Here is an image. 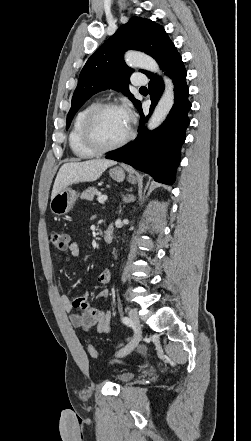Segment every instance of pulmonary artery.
I'll return each mask as SVG.
<instances>
[{
	"instance_id": "obj_1",
	"label": "pulmonary artery",
	"mask_w": 251,
	"mask_h": 441,
	"mask_svg": "<svg viewBox=\"0 0 251 441\" xmlns=\"http://www.w3.org/2000/svg\"><path fill=\"white\" fill-rule=\"evenodd\" d=\"M131 82L135 86H144L147 83V79L142 74H133Z\"/></svg>"
}]
</instances>
